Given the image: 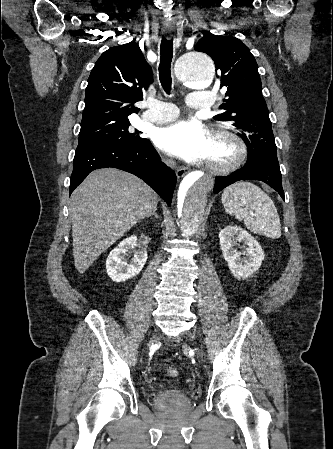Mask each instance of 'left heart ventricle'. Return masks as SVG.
Listing matches in <instances>:
<instances>
[{"label": "left heart ventricle", "mask_w": 333, "mask_h": 449, "mask_svg": "<svg viewBox=\"0 0 333 449\" xmlns=\"http://www.w3.org/2000/svg\"><path fill=\"white\" fill-rule=\"evenodd\" d=\"M229 155L230 153L226 146L218 144L211 140L206 160L220 162L226 160L229 157Z\"/></svg>", "instance_id": "obj_1"}]
</instances>
